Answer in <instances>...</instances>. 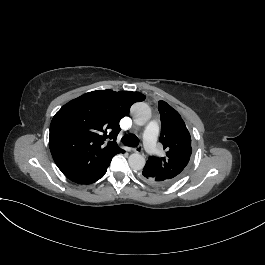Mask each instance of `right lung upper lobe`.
<instances>
[{"instance_id": "1", "label": "right lung upper lobe", "mask_w": 265, "mask_h": 265, "mask_svg": "<svg viewBox=\"0 0 265 265\" xmlns=\"http://www.w3.org/2000/svg\"><path fill=\"white\" fill-rule=\"evenodd\" d=\"M145 98L139 92L96 90L65 104L54 115L49 135L51 154L62 173L79 184L100 179L112 158L124 153L116 143L120 119Z\"/></svg>"}]
</instances>
